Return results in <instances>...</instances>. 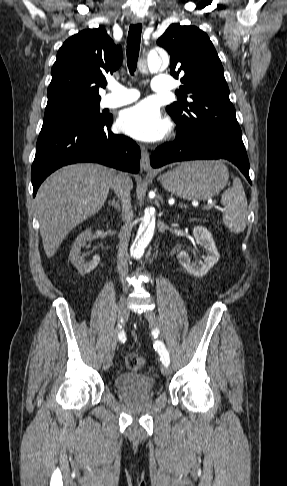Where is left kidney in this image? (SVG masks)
I'll use <instances>...</instances> for the list:
<instances>
[{
  "instance_id": "5707ae66",
  "label": "left kidney",
  "mask_w": 287,
  "mask_h": 486,
  "mask_svg": "<svg viewBox=\"0 0 287 486\" xmlns=\"http://www.w3.org/2000/svg\"><path fill=\"white\" fill-rule=\"evenodd\" d=\"M196 243L205 248L206 256L199 264L191 262L190 257L185 251L178 255L179 263L195 277H203L219 260V253L209 230L203 226H196L193 229Z\"/></svg>"
}]
</instances>
